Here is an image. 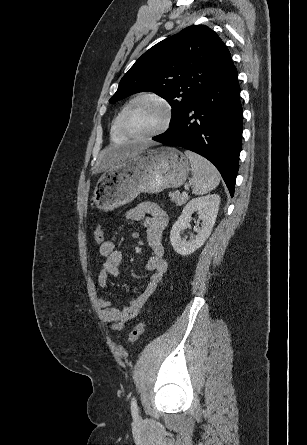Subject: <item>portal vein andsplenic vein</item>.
<instances>
[{
    "label": "portal vein and splenic vein",
    "mask_w": 307,
    "mask_h": 445,
    "mask_svg": "<svg viewBox=\"0 0 307 445\" xmlns=\"http://www.w3.org/2000/svg\"><path fill=\"white\" fill-rule=\"evenodd\" d=\"M184 188H186V190H189V186L188 184H185ZM184 196H187V192H183Z\"/></svg>",
    "instance_id": "portal-vein-and-splenic-vein-1"
}]
</instances>
